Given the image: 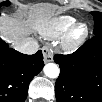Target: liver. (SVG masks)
I'll use <instances>...</instances> for the list:
<instances>
[{
	"mask_svg": "<svg viewBox=\"0 0 102 102\" xmlns=\"http://www.w3.org/2000/svg\"><path fill=\"white\" fill-rule=\"evenodd\" d=\"M55 13L52 5L47 3L34 4L31 7L30 14L26 19L14 20L10 17L1 19V31L3 38L12 43V47H16L31 33L36 31V24L42 20H46Z\"/></svg>",
	"mask_w": 102,
	"mask_h": 102,
	"instance_id": "obj_1",
	"label": "liver"
}]
</instances>
